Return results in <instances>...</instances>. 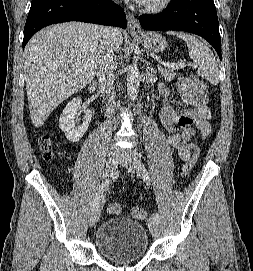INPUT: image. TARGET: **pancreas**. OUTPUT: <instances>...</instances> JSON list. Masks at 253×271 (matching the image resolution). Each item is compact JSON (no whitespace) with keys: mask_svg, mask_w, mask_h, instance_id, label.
I'll use <instances>...</instances> for the list:
<instances>
[{"mask_svg":"<svg viewBox=\"0 0 253 271\" xmlns=\"http://www.w3.org/2000/svg\"><path fill=\"white\" fill-rule=\"evenodd\" d=\"M159 73L161 74L162 77H164L166 80L170 81L174 78L175 73L173 72V70L170 67H159L158 68Z\"/></svg>","mask_w":253,"mask_h":271,"instance_id":"obj_1","label":"pancreas"}]
</instances>
